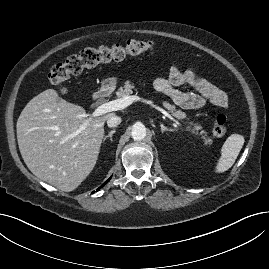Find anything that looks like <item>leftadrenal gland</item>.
Segmentation results:
<instances>
[{"label": "left adrenal gland", "mask_w": 269, "mask_h": 269, "mask_svg": "<svg viewBox=\"0 0 269 269\" xmlns=\"http://www.w3.org/2000/svg\"><path fill=\"white\" fill-rule=\"evenodd\" d=\"M160 126H161V132L162 133H164L165 131H168V132H174L175 131L174 129L165 127L162 123H160Z\"/></svg>", "instance_id": "a2214340"}]
</instances>
